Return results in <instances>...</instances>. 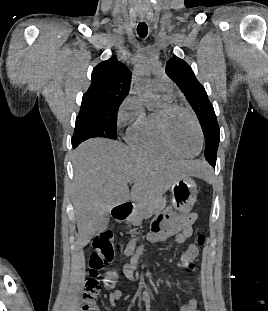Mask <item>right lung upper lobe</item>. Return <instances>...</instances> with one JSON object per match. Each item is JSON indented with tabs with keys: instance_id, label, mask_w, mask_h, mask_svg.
<instances>
[{
	"instance_id": "cb5924a9",
	"label": "right lung upper lobe",
	"mask_w": 268,
	"mask_h": 311,
	"mask_svg": "<svg viewBox=\"0 0 268 311\" xmlns=\"http://www.w3.org/2000/svg\"><path fill=\"white\" fill-rule=\"evenodd\" d=\"M130 82V70L113 56L93 69L91 85L83 98L122 103L129 93Z\"/></svg>"
}]
</instances>
